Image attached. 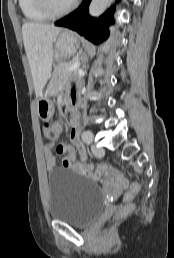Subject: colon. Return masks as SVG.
Instances as JSON below:
<instances>
[{
    "label": "colon",
    "mask_w": 174,
    "mask_h": 258,
    "mask_svg": "<svg viewBox=\"0 0 174 258\" xmlns=\"http://www.w3.org/2000/svg\"><path fill=\"white\" fill-rule=\"evenodd\" d=\"M63 123L58 120H52L47 121L43 125V135L45 139L47 140L49 145L56 144L63 132ZM140 190V183L138 181H135L131 184L128 191L125 194V201L129 202L134 198V196L139 192ZM132 208V205L130 203L125 204L119 211V215H125L128 213Z\"/></svg>",
    "instance_id": "colon-1"
}]
</instances>
